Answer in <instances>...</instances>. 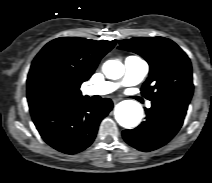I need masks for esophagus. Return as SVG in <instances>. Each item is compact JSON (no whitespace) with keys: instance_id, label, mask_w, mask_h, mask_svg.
<instances>
[{"instance_id":"34e87169","label":"esophagus","mask_w":212,"mask_h":183,"mask_svg":"<svg viewBox=\"0 0 212 183\" xmlns=\"http://www.w3.org/2000/svg\"><path fill=\"white\" fill-rule=\"evenodd\" d=\"M119 101V99L115 98L113 99L114 104H116Z\"/></svg>"}]
</instances>
